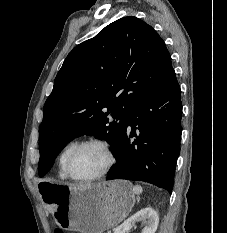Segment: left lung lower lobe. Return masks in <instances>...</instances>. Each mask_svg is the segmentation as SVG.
Masks as SVG:
<instances>
[{"label": "left lung lower lobe", "mask_w": 227, "mask_h": 233, "mask_svg": "<svg viewBox=\"0 0 227 233\" xmlns=\"http://www.w3.org/2000/svg\"><path fill=\"white\" fill-rule=\"evenodd\" d=\"M181 117L180 86L172 69L154 92L133 105L106 180L145 181L171 194Z\"/></svg>", "instance_id": "left-lung-lower-lobe-1"}]
</instances>
